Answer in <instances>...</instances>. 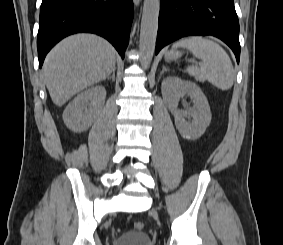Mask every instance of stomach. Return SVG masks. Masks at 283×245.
Here are the masks:
<instances>
[{
	"label": "stomach",
	"instance_id": "obj_1",
	"mask_svg": "<svg viewBox=\"0 0 283 245\" xmlns=\"http://www.w3.org/2000/svg\"><path fill=\"white\" fill-rule=\"evenodd\" d=\"M182 53L178 50L172 49L170 51H166L165 53V59L166 60H176L178 59Z\"/></svg>",
	"mask_w": 283,
	"mask_h": 245
}]
</instances>
